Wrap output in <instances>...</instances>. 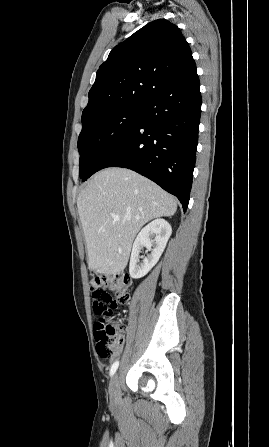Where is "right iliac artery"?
<instances>
[{"instance_id": "1", "label": "right iliac artery", "mask_w": 269, "mask_h": 447, "mask_svg": "<svg viewBox=\"0 0 269 447\" xmlns=\"http://www.w3.org/2000/svg\"><path fill=\"white\" fill-rule=\"evenodd\" d=\"M118 366H119V362H118V361H116V362L112 365L111 370H110V375H111V376L116 372Z\"/></svg>"}]
</instances>
